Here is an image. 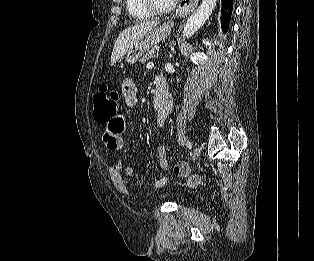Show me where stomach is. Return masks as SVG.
Returning <instances> with one entry per match:
<instances>
[{
    "instance_id": "obj_1",
    "label": "stomach",
    "mask_w": 314,
    "mask_h": 261,
    "mask_svg": "<svg viewBox=\"0 0 314 261\" xmlns=\"http://www.w3.org/2000/svg\"><path fill=\"white\" fill-rule=\"evenodd\" d=\"M170 32L168 24H163L160 27H155L144 38L139 41L132 49L127 52L126 61L128 64H134L145 54L152 49L156 44L162 41Z\"/></svg>"
}]
</instances>
